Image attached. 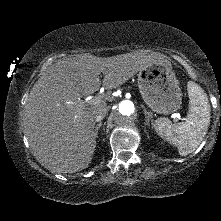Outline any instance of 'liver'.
I'll return each instance as SVG.
<instances>
[{
  "label": "liver",
  "instance_id": "obj_1",
  "mask_svg": "<svg viewBox=\"0 0 221 221\" xmlns=\"http://www.w3.org/2000/svg\"><path fill=\"white\" fill-rule=\"evenodd\" d=\"M155 63L170 66L164 55L142 51L107 58L85 54L50 66L24 107L25 133L36 159L58 173L87 168L96 148L95 117L106 102L91 105L81 98L99 90L101 72L102 86L112 90Z\"/></svg>",
  "mask_w": 221,
  "mask_h": 221
}]
</instances>
